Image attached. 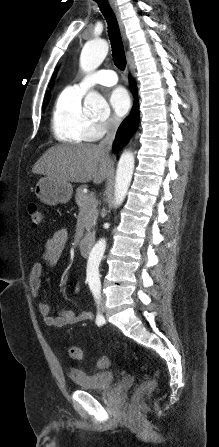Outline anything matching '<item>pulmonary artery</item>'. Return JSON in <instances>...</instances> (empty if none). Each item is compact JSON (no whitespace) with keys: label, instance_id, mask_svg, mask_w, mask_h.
<instances>
[{"label":"pulmonary artery","instance_id":"obj_1","mask_svg":"<svg viewBox=\"0 0 219 447\" xmlns=\"http://www.w3.org/2000/svg\"><path fill=\"white\" fill-rule=\"evenodd\" d=\"M118 82L117 75L112 70H103L99 71L97 74L93 76L86 77L82 79L80 82L71 86L79 93H84L91 86L100 84L104 86H112Z\"/></svg>","mask_w":219,"mask_h":447}]
</instances>
